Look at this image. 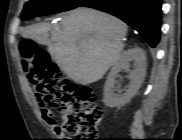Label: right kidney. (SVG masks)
I'll return each instance as SVG.
<instances>
[{
	"instance_id": "right-kidney-1",
	"label": "right kidney",
	"mask_w": 182,
	"mask_h": 140,
	"mask_svg": "<svg viewBox=\"0 0 182 140\" xmlns=\"http://www.w3.org/2000/svg\"><path fill=\"white\" fill-rule=\"evenodd\" d=\"M134 69L130 70L131 63ZM123 70L129 72L130 83L122 95L115 94L116 78ZM146 75V56L141 48H133L124 53L109 72L105 86L103 102L108 107H121L128 103L138 92Z\"/></svg>"
}]
</instances>
